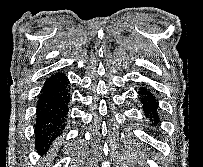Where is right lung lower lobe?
I'll use <instances>...</instances> for the list:
<instances>
[{
  "label": "right lung lower lobe",
  "mask_w": 203,
  "mask_h": 167,
  "mask_svg": "<svg viewBox=\"0 0 203 167\" xmlns=\"http://www.w3.org/2000/svg\"><path fill=\"white\" fill-rule=\"evenodd\" d=\"M70 85L62 72L51 75L44 83L35 119V146L47 151L62 135L67 126Z\"/></svg>",
  "instance_id": "obj_1"
}]
</instances>
